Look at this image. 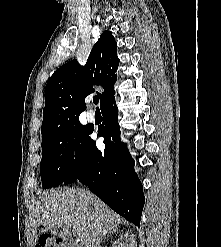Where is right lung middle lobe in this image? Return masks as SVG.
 Masks as SVG:
<instances>
[{
    "label": "right lung middle lobe",
    "mask_w": 221,
    "mask_h": 247,
    "mask_svg": "<svg viewBox=\"0 0 221 247\" xmlns=\"http://www.w3.org/2000/svg\"><path fill=\"white\" fill-rule=\"evenodd\" d=\"M91 128L75 122L59 131L42 137L40 175L44 189L65 181L85 155Z\"/></svg>",
    "instance_id": "1"
}]
</instances>
